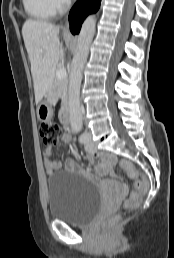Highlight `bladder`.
<instances>
[{
    "label": "bladder",
    "mask_w": 174,
    "mask_h": 258,
    "mask_svg": "<svg viewBox=\"0 0 174 258\" xmlns=\"http://www.w3.org/2000/svg\"><path fill=\"white\" fill-rule=\"evenodd\" d=\"M47 204L51 217L82 226L97 217L102 196L85 174L64 171L52 175Z\"/></svg>",
    "instance_id": "31cf9c89"
}]
</instances>
